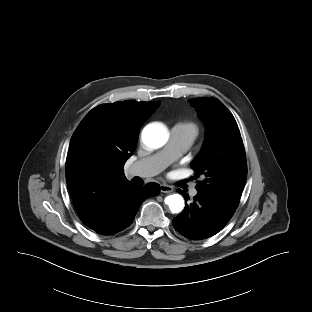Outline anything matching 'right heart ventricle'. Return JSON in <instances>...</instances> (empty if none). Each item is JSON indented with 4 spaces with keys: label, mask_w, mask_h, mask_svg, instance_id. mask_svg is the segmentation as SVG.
I'll list each match as a JSON object with an SVG mask.
<instances>
[{
    "label": "right heart ventricle",
    "mask_w": 312,
    "mask_h": 312,
    "mask_svg": "<svg viewBox=\"0 0 312 312\" xmlns=\"http://www.w3.org/2000/svg\"><path fill=\"white\" fill-rule=\"evenodd\" d=\"M176 126H179L184 131H186L192 137L193 140L195 139V137L197 136L198 131H199L198 125L192 121H186L183 123H179Z\"/></svg>",
    "instance_id": "right-heart-ventricle-1"
}]
</instances>
